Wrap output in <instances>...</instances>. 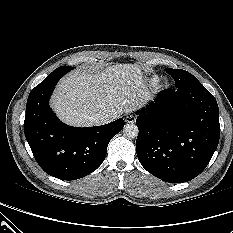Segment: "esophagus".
<instances>
[{"mask_svg":"<svg viewBox=\"0 0 233 233\" xmlns=\"http://www.w3.org/2000/svg\"><path fill=\"white\" fill-rule=\"evenodd\" d=\"M135 120H136V116H135V115H132V114H128V115H126V117H125V121H126L127 123H134Z\"/></svg>","mask_w":233,"mask_h":233,"instance_id":"1","label":"esophagus"}]
</instances>
